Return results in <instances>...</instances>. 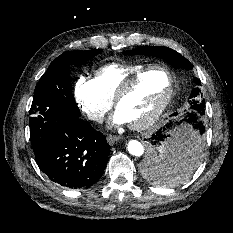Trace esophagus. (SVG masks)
<instances>
[{"mask_svg":"<svg viewBox=\"0 0 233 233\" xmlns=\"http://www.w3.org/2000/svg\"><path fill=\"white\" fill-rule=\"evenodd\" d=\"M117 140H119V137L115 136V135H108L107 136V142L110 145H113Z\"/></svg>","mask_w":233,"mask_h":233,"instance_id":"34e87169","label":"esophagus"}]
</instances>
